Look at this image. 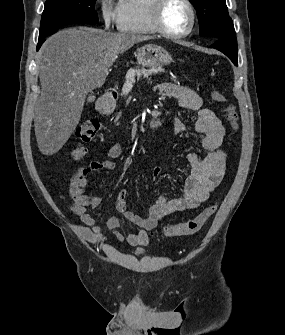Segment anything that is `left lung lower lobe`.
<instances>
[{"label":"left lung lower lobe","mask_w":285,"mask_h":335,"mask_svg":"<svg viewBox=\"0 0 285 335\" xmlns=\"http://www.w3.org/2000/svg\"><path fill=\"white\" fill-rule=\"evenodd\" d=\"M211 47L226 54L231 61L237 65L238 51L236 37L228 39H214Z\"/></svg>","instance_id":"1"}]
</instances>
